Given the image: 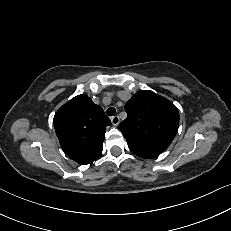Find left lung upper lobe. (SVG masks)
<instances>
[{
    "label": "left lung upper lobe",
    "mask_w": 231,
    "mask_h": 231,
    "mask_svg": "<svg viewBox=\"0 0 231 231\" xmlns=\"http://www.w3.org/2000/svg\"><path fill=\"white\" fill-rule=\"evenodd\" d=\"M125 110L128 117L119 129L134 154L152 159L168 148L179 126V113L172 102L141 90L125 104Z\"/></svg>",
    "instance_id": "obj_1"
}]
</instances>
